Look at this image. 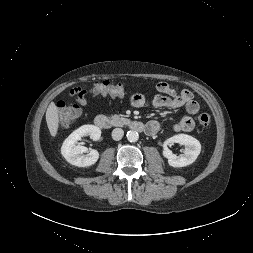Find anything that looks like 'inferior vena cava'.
Returning <instances> with one entry per match:
<instances>
[{"label":"inferior vena cava","instance_id":"1","mask_svg":"<svg viewBox=\"0 0 253 253\" xmlns=\"http://www.w3.org/2000/svg\"><path fill=\"white\" fill-rule=\"evenodd\" d=\"M124 135V131L123 129L121 128H115L113 131H112V138L115 140V141H119L122 139Z\"/></svg>","mask_w":253,"mask_h":253}]
</instances>
